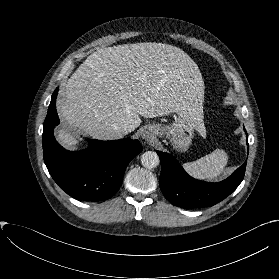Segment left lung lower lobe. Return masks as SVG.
<instances>
[{
    "label": "left lung lower lobe",
    "instance_id": "1",
    "mask_svg": "<svg viewBox=\"0 0 279 279\" xmlns=\"http://www.w3.org/2000/svg\"><path fill=\"white\" fill-rule=\"evenodd\" d=\"M157 154L162 166L159 184L164 197L173 205L185 209L210 207L219 203L239 186L246 169L245 162L221 182H203L189 176L171 154L160 151Z\"/></svg>",
    "mask_w": 279,
    "mask_h": 279
}]
</instances>
